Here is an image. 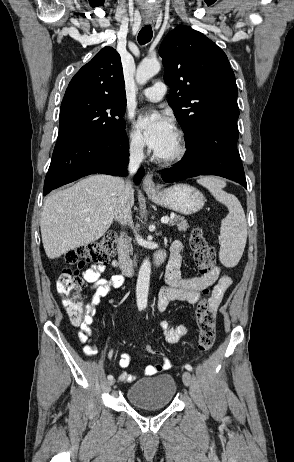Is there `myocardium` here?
Here are the masks:
<instances>
[{"mask_svg": "<svg viewBox=\"0 0 294 462\" xmlns=\"http://www.w3.org/2000/svg\"><path fill=\"white\" fill-rule=\"evenodd\" d=\"M176 137H177V150L175 153H173L170 156L163 157V156H158V160L166 165H171L180 162L187 154L188 152V145L186 141V137L183 132L177 131L176 132Z\"/></svg>", "mask_w": 294, "mask_h": 462, "instance_id": "myocardium-1", "label": "myocardium"}]
</instances>
